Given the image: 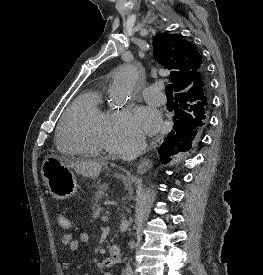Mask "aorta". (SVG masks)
Segmentation results:
<instances>
[{
    "mask_svg": "<svg viewBox=\"0 0 263 275\" xmlns=\"http://www.w3.org/2000/svg\"><path fill=\"white\" fill-rule=\"evenodd\" d=\"M139 79L138 69L131 64L120 66L110 86V99L115 103H122L131 96Z\"/></svg>",
    "mask_w": 263,
    "mask_h": 275,
    "instance_id": "1",
    "label": "aorta"
}]
</instances>
